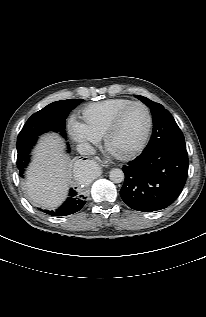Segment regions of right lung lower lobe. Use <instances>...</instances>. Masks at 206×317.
<instances>
[{
  "label": "right lung lower lobe",
  "instance_id": "obj_1",
  "mask_svg": "<svg viewBox=\"0 0 206 317\" xmlns=\"http://www.w3.org/2000/svg\"><path fill=\"white\" fill-rule=\"evenodd\" d=\"M85 199L86 197L83 194L71 189L69 197L58 209L55 211L40 210L52 216H66L82 209L86 203Z\"/></svg>",
  "mask_w": 206,
  "mask_h": 317
}]
</instances>
